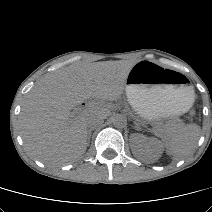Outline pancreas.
<instances>
[{"label":"pancreas","instance_id":"cf45deb5","mask_svg":"<svg viewBox=\"0 0 212 212\" xmlns=\"http://www.w3.org/2000/svg\"><path fill=\"white\" fill-rule=\"evenodd\" d=\"M167 130H168V132H172V131H174V128L173 127H167Z\"/></svg>","mask_w":212,"mask_h":212}]
</instances>
